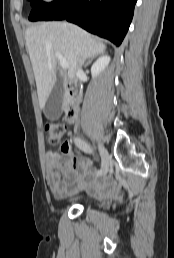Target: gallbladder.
<instances>
[{
  "instance_id": "obj_1",
  "label": "gallbladder",
  "mask_w": 174,
  "mask_h": 258,
  "mask_svg": "<svg viewBox=\"0 0 174 258\" xmlns=\"http://www.w3.org/2000/svg\"><path fill=\"white\" fill-rule=\"evenodd\" d=\"M63 96H64V85L61 80H58L44 107V114L49 120H57L61 117L63 112Z\"/></svg>"
}]
</instances>
